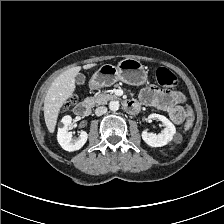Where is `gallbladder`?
I'll return each instance as SVG.
<instances>
[{"label": "gallbladder", "instance_id": "1", "mask_svg": "<svg viewBox=\"0 0 224 224\" xmlns=\"http://www.w3.org/2000/svg\"><path fill=\"white\" fill-rule=\"evenodd\" d=\"M85 75L82 74V73H78L76 76H75V82L77 85H83L85 83Z\"/></svg>", "mask_w": 224, "mask_h": 224}]
</instances>
